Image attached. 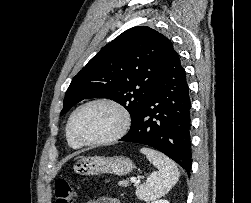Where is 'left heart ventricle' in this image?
I'll use <instances>...</instances> for the list:
<instances>
[{
  "label": "left heart ventricle",
  "instance_id": "obj_1",
  "mask_svg": "<svg viewBox=\"0 0 251 203\" xmlns=\"http://www.w3.org/2000/svg\"><path fill=\"white\" fill-rule=\"evenodd\" d=\"M120 115L106 105H92L82 109L74 119L76 134L88 140L101 139L112 134L120 124Z\"/></svg>",
  "mask_w": 251,
  "mask_h": 203
}]
</instances>
